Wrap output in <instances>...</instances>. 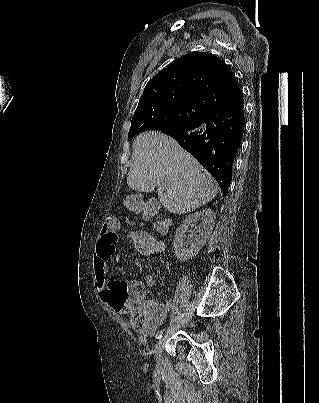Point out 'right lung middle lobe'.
<instances>
[{
    "label": "right lung middle lobe",
    "mask_w": 319,
    "mask_h": 403,
    "mask_svg": "<svg viewBox=\"0 0 319 403\" xmlns=\"http://www.w3.org/2000/svg\"><path fill=\"white\" fill-rule=\"evenodd\" d=\"M208 111L200 106L186 103L155 104L133 115L128 139L147 130L192 124L204 117Z\"/></svg>",
    "instance_id": "obj_1"
}]
</instances>
